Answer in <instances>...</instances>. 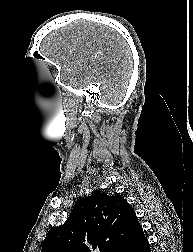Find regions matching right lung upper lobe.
<instances>
[{
    "instance_id": "right-lung-upper-lobe-1",
    "label": "right lung upper lobe",
    "mask_w": 193,
    "mask_h": 252,
    "mask_svg": "<svg viewBox=\"0 0 193 252\" xmlns=\"http://www.w3.org/2000/svg\"><path fill=\"white\" fill-rule=\"evenodd\" d=\"M141 229L123 197L93 191L63 225L47 233L41 252H121Z\"/></svg>"
}]
</instances>
